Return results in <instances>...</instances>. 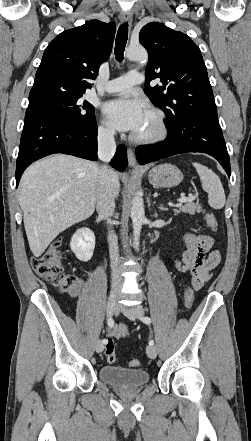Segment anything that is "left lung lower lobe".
I'll use <instances>...</instances> for the list:
<instances>
[{
    "label": "left lung lower lobe",
    "instance_id": "0a47b994",
    "mask_svg": "<svg viewBox=\"0 0 251 441\" xmlns=\"http://www.w3.org/2000/svg\"><path fill=\"white\" fill-rule=\"evenodd\" d=\"M186 152L213 156L230 177V160L217 114L183 116L168 128L166 139L154 145L136 148L140 165Z\"/></svg>",
    "mask_w": 251,
    "mask_h": 441
}]
</instances>
